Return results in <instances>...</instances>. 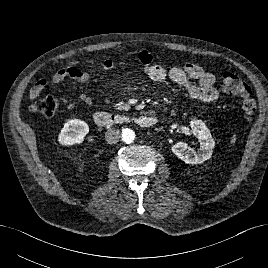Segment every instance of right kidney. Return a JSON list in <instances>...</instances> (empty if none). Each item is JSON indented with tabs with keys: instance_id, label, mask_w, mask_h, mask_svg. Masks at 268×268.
<instances>
[{
	"instance_id": "right-kidney-1",
	"label": "right kidney",
	"mask_w": 268,
	"mask_h": 268,
	"mask_svg": "<svg viewBox=\"0 0 268 268\" xmlns=\"http://www.w3.org/2000/svg\"><path fill=\"white\" fill-rule=\"evenodd\" d=\"M88 132L89 126L86 122L80 119H71L62 128L58 136V141L65 146L81 144Z\"/></svg>"
}]
</instances>
